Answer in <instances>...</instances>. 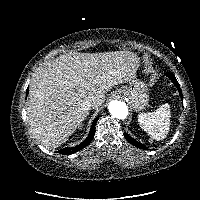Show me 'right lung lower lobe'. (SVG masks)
<instances>
[{"mask_svg":"<svg viewBox=\"0 0 200 200\" xmlns=\"http://www.w3.org/2000/svg\"><path fill=\"white\" fill-rule=\"evenodd\" d=\"M27 94H28V90L26 91V96H27ZM97 120H98V117L95 118V120L93 121L88 137L81 144L77 145L76 147H72V148H64L60 151V153L63 155L72 154V153H75V152L81 150L82 148L86 147L87 145H89V143L92 141L94 134H95V124H96Z\"/></svg>","mask_w":200,"mask_h":200,"instance_id":"1","label":"right lung lower lobe"}]
</instances>
